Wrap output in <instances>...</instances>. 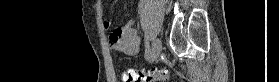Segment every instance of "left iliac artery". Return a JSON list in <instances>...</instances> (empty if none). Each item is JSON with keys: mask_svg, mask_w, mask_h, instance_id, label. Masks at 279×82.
I'll return each mask as SVG.
<instances>
[{"mask_svg": "<svg viewBox=\"0 0 279 82\" xmlns=\"http://www.w3.org/2000/svg\"><path fill=\"white\" fill-rule=\"evenodd\" d=\"M151 40V35L149 31L146 29L145 31V58H149L150 56V46L149 41Z\"/></svg>", "mask_w": 279, "mask_h": 82, "instance_id": "44dca946", "label": "left iliac artery"}]
</instances>
